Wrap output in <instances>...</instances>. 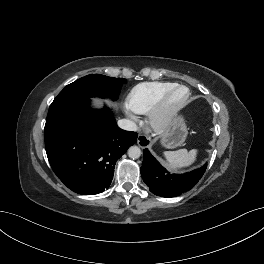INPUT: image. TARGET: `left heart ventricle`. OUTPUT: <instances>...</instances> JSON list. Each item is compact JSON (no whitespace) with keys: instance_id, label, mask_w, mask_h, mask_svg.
Segmentation results:
<instances>
[{"instance_id":"left-heart-ventricle-1","label":"left heart ventricle","mask_w":264,"mask_h":264,"mask_svg":"<svg viewBox=\"0 0 264 264\" xmlns=\"http://www.w3.org/2000/svg\"><path fill=\"white\" fill-rule=\"evenodd\" d=\"M186 96V90L185 89H178L177 91L174 92L172 97L170 98L169 101V106L173 107L177 104H179Z\"/></svg>"}]
</instances>
